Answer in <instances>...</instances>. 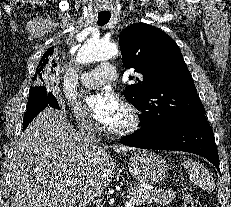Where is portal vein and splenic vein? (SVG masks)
Returning <instances> with one entry per match:
<instances>
[{"label": "portal vein and splenic vein", "mask_w": 231, "mask_h": 207, "mask_svg": "<svg viewBox=\"0 0 231 207\" xmlns=\"http://www.w3.org/2000/svg\"><path fill=\"white\" fill-rule=\"evenodd\" d=\"M135 203H132L131 201L125 203V207H134Z\"/></svg>", "instance_id": "portal-vein-and-splenic-vein-1"}]
</instances>
